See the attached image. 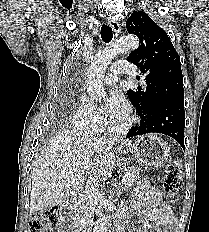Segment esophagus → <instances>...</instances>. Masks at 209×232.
<instances>
[{"instance_id": "obj_1", "label": "esophagus", "mask_w": 209, "mask_h": 232, "mask_svg": "<svg viewBox=\"0 0 209 232\" xmlns=\"http://www.w3.org/2000/svg\"><path fill=\"white\" fill-rule=\"evenodd\" d=\"M107 24L113 28V30L118 34L121 31L120 25L117 21L108 18Z\"/></svg>"}]
</instances>
